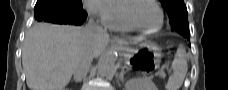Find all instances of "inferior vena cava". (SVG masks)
Returning <instances> with one entry per match:
<instances>
[{
  "label": "inferior vena cava",
  "mask_w": 228,
  "mask_h": 90,
  "mask_svg": "<svg viewBox=\"0 0 228 90\" xmlns=\"http://www.w3.org/2000/svg\"><path fill=\"white\" fill-rule=\"evenodd\" d=\"M85 30L87 36V47L75 66L73 72L75 82H81L89 71L93 59L92 41L107 34L106 31L93 20V18L89 19Z\"/></svg>",
  "instance_id": "obj_1"
}]
</instances>
